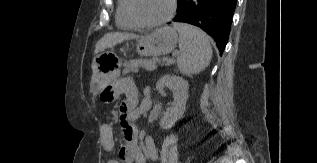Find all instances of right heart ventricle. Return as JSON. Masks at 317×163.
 <instances>
[{"mask_svg":"<svg viewBox=\"0 0 317 163\" xmlns=\"http://www.w3.org/2000/svg\"><path fill=\"white\" fill-rule=\"evenodd\" d=\"M116 24L123 30H135L140 26L131 18L128 11V0H118Z\"/></svg>","mask_w":317,"mask_h":163,"instance_id":"e07e8e85","label":"right heart ventricle"}]
</instances>
